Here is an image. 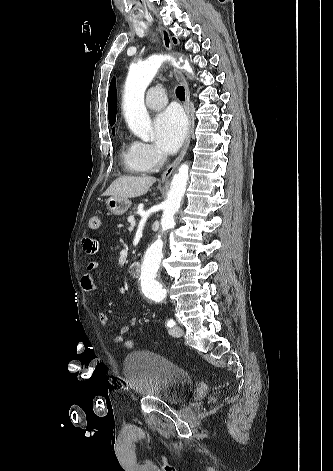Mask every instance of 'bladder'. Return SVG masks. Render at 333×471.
Instances as JSON below:
<instances>
[{
  "label": "bladder",
  "instance_id": "obj_1",
  "mask_svg": "<svg viewBox=\"0 0 333 471\" xmlns=\"http://www.w3.org/2000/svg\"><path fill=\"white\" fill-rule=\"evenodd\" d=\"M124 376L132 391L167 404L177 405L191 394V375L164 356L151 351H135L124 360Z\"/></svg>",
  "mask_w": 333,
  "mask_h": 471
}]
</instances>
